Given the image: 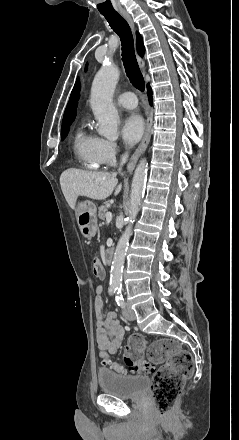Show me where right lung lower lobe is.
<instances>
[{"mask_svg": "<svg viewBox=\"0 0 239 440\" xmlns=\"http://www.w3.org/2000/svg\"><path fill=\"white\" fill-rule=\"evenodd\" d=\"M147 89H148L149 100H150V103L152 104V91H151L149 84L147 85Z\"/></svg>", "mask_w": 239, "mask_h": 440, "instance_id": "98d812e1", "label": "right lung lower lobe"}]
</instances>
